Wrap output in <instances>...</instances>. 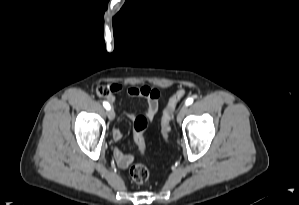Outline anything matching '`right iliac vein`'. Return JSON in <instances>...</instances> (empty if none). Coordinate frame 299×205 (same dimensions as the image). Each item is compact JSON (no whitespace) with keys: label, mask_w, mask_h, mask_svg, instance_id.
<instances>
[{"label":"right iliac vein","mask_w":299,"mask_h":205,"mask_svg":"<svg viewBox=\"0 0 299 205\" xmlns=\"http://www.w3.org/2000/svg\"><path fill=\"white\" fill-rule=\"evenodd\" d=\"M107 115H108V118L110 120H114V118H115V112H114L113 109H109L108 112H107Z\"/></svg>","instance_id":"right-iliac-vein-1"}]
</instances>
